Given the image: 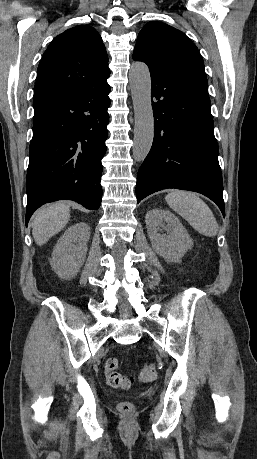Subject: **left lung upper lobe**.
I'll return each mask as SVG.
<instances>
[{"instance_id": "1", "label": "left lung upper lobe", "mask_w": 257, "mask_h": 459, "mask_svg": "<svg viewBox=\"0 0 257 459\" xmlns=\"http://www.w3.org/2000/svg\"><path fill=\"white\" fill-rule=\"evenodd\" d=\"M133 59L145 62L150 73L206 78L204 62L195 44L183 32L164 23L150 22L143 27Z\"/></svg>"}]
</instances>
